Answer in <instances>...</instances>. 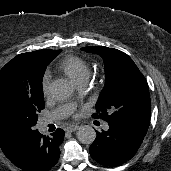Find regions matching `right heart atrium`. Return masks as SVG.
Segmentation results:
<instances>
[{
	"label": "right heart atrium",
	"instance_id": "right-heart-atrium-1",
	"mask_svg": "<svg viewBox=\"0 0 171 171\" xmlns=\"http://www.w3.org/2000/svg\"><path fill=\"white\" fill-rule=\"evenodd\" d=\"M50 80H51V75L49 72H46L43 76L42 79V89L44 95H48L50 91Z\"/></svg>",
	"mask_w": 171,
	"mask_h": 171
}]
</instances>
